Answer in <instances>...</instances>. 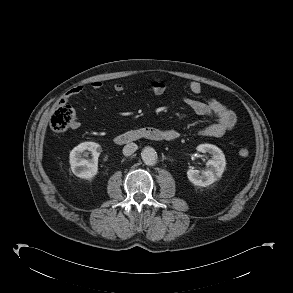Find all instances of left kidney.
<instances>
[{
    "label": "left kidney",
    "mask_w": 293,
    "mask_h": 293,
    "mask_svg": "<svg viewBox=\"0 0 293 293\" xmlns=\"http://www.w3.org/2000/svg\"><path fill=\"white\" fill-rule=\"evenodd\" d=\"M197 150L211 155L212 158L208 160L210 168L202 172V174H200L199 170L189 169L187 171V177L194 185L206 187L213 184L222 176L226 166L225 155L221 149L212 144H201L197 147Z\"/></svg>",
    "instance_id": "left-kidney-1"
}]
</instances>
